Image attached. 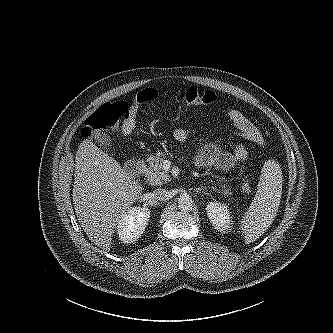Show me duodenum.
<instances>
[{
	"label": "duodenum",
	"mask_w": 333,
	"mask_h": 333,
	"mask_svg": "<svg viewBox=\"0 0 333 333\" xmlns=\"http://www.w3.org/2000/svg\"><path fill=\"white\" fill-rule=\"evenodd\" d=\"M146 165L143 160L135 159L126 164L125 170L130 175H140L144 173Z\"/></svg>",
	"instance_id": "410a0bca"
}]
</instances>
